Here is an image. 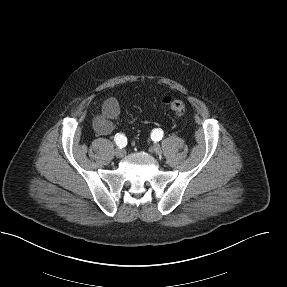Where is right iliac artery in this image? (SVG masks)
<instances>
[{
	"label": "right iliac artery",
	"instance_id": "right-iliac-artery-1",
	"mask_svg": "<svg viewBox=\"0 0 287 287\" xmlns=\"http://www.w3.org/2000/svg\"><path fill=\"white\" fill-rule=\"evenodd\" d=\"M115 142L119 148H124L127 145V138L123 134H116Z\"/></svg>",
	"mask_w": 287,
	"mask_h": 287
}]
</instances>
